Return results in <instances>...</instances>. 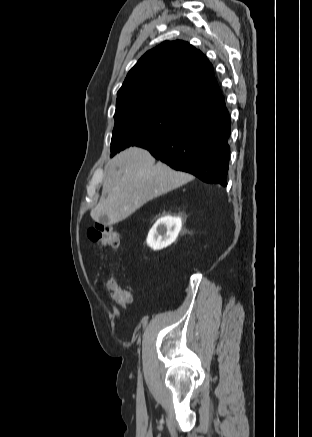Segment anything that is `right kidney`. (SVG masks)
Masks as SVG:
<instances>
[{
	"instance_id": "right-kidney-1",
	"label": "right kidney",
	"mask_w": 312,
	"mask_h": 437,
	"mask_svg": "<svg viewBox=\"0 0 312 437\" xmlns=\"http://www.w3.org/2000/svg\"><path fill=\"white\" fill-rule=\"evenodd\" d=\"M182 228L180 217L165 216L156 221L148 233L147 244L154 250L171 245Z\"/></svg>"
}]
</instances>
